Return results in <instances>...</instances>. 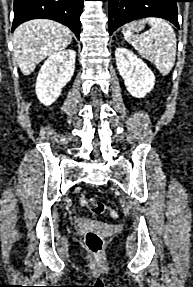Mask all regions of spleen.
<instances>
[{
  "instance_id": "1",
  "label": "spleen",
  "mask_w": 193,
  "mask_h": 287,
  "mask_svg": "<svg viewBox=\"0 0 193 287\" xmlns=\"http://www.w3.org/2000/svg\"><path fill=\"white\" fill-rule=\"evenodd\" d=\"M148 23L151 28L141 35H133L137 24ZM127 42L145 59L153 63L162 75H168L176 59V35L171 25L161 18H147L123 27Z\"/></svg>"
}]
</instances>
